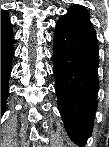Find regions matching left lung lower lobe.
Segmentation results:
<instances>
[{"label":"left lung lower lobe","mask_w":109,"mask_h":147,"mask_svg":"<svg viewBox=\"0 0 109 147\" xmlns=\"http://www.w3.org/2000/svg\"><path fill=\"white\" fill-rule=\"evenodd\" d=\"M58 109L70 138L78 145L91 136L99 91V51L88 12L73 5L58 20L53 39Z\"/></svg>","instance_id":"left-lung-lower-lobe-1"}]
</instances>
